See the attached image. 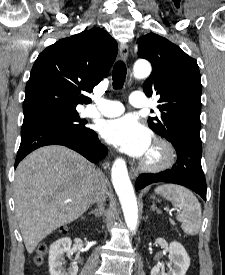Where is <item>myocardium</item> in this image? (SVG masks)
Here are the masks:
<instances>
[{
  "instance_id": "f54148a6",
  "label": "myocardium",
  "mask_w": 225,
  "mask_h": 275,
  "mask_svg": "<svg viewBox=\"0 0 225 275\" xmlns=\"http://www.w3.org/2000/svg\"><path fill=\"white\" fill-rule=\"evenodd\" d=\"M156 151L154 158L145 157L140 167L143 171L156 173L170 168L176 159V152L173 146L162 138H156L152 147Z\"/></svg>"
}]
</instances>
